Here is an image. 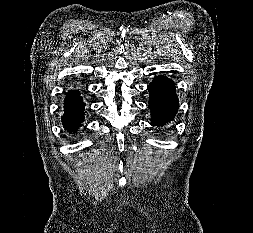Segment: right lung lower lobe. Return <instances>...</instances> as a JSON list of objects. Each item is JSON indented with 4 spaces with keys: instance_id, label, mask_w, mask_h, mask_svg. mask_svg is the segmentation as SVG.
<instances>
[{
    "instance_id": "obj_1",
    "label": "right lung lower lobe",
    "mask_w": 253,
    "mask_h": 233,
    "mask_svg": "<svg viewBox=\"0 0 253 233\" xmlns=\"http://www.w3.org/2000/svg\"><path fill=\"white\" fill-rule=\"evenodd\" d=\"M84 103L78 91H70L64 100V114L62 123L64 127L72 132L77 130L83 121Z\"/></svg>"
}]
</instances>
